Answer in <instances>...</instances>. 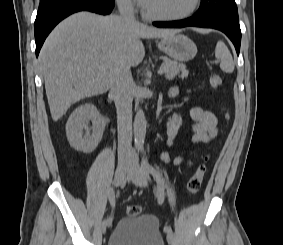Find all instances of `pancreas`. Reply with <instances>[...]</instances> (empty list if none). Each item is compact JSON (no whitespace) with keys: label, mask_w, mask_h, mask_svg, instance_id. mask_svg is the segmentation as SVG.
Listing matches in <instances>:
<instances>
[{"label":"pancreas","mask_w":283,"mask_h":245,"mask_svg":"<svg viewBox=\"0 0 283 245\" xmlns=\"http://www.w3.org/2000/svg\"><path fill=\"white\" fill-rule=\"evenodd\" d=\"M163 60L161 68L163 69V73L165 77L169 80L173 79L177 74L181 72L180 77L185 78L188 75V71L186 70V66L180 64L176 61H172L167 57H162Z\"/></svg>","instance_id":"cf45deb5"}]
</instances>
